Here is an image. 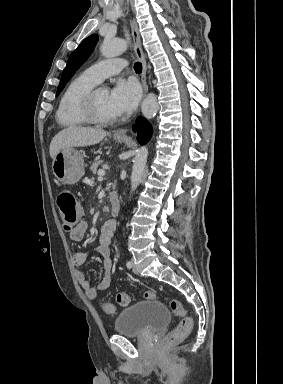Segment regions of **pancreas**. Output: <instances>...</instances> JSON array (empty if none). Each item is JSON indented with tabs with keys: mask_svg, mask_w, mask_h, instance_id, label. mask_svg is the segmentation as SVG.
I'll list each match as a JSON object with an SVG mask.
<instances>
[{
	"mask_svg": "<svg viewBox=\"0 0 283 384\" xmlns=\"http://www.w3.org/2000/svg\"><path fill=\"white\" fill-rule=\"evenodd\" d=\"M100 164H103V160H96V162H94V164H92L90 170H91V172H93V174H96L97 168H99ZM103 166H104V164H103Z\"/></svg>",
	"mask_w": 283,
	"mask_h": 384,
	"instance_id": "pancreas-1",
	"label": "pancreas"
}]
</instances>
